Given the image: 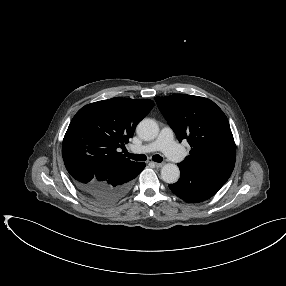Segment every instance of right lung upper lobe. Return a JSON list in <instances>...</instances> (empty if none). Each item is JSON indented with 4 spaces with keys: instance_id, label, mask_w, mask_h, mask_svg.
Here are the masks:
<instances>
[{
    "instance_id": "right-lung-upper-lobe-1",
    "label": "right lung upper lobe",
    "mask_w": 286,
    "mask_h": 286,
    "mask_svg": "<svg viewBox=\"0 0 286 286\" xmlns=\"http://www.w3.org/2000/svg\"><path fill=\"white\" fill-rule=\"evenodd\" d=\"M154 107L152 100L111 98L82 107L73 117L63 148H76L102 175H111L136 162L118 152L134 134L137 123Z\"/></svg>"
}]
</instances>
